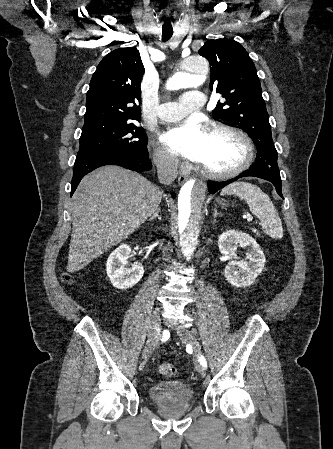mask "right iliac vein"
I'll list each match as a JSON object with an SVG mask.
<instances>
[{"label": "right iliac vein", "instance_id": "1", "mask_svg": "<svg viewBox=\"0 0 333 449\" xmlns=\"http://www.w3.org/2000/svg\"><path fill=\"white\" fill-rule=\"evenodd\" d=\"M157 315H158V309H156L154 311V319L152 322V326H151L149 334H148V339H147L145 348L142 352L143 359H147L151 355L154 347L156 346V344L158 343L159 338H160L159 325H158L157 319H156Z\"/></svg>", "mask_w": 333, "mask_h": 449}]
</instances>
